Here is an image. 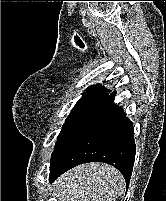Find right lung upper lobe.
I'll use <instances>...</instances> for the list:
<instances>
[{
	"mask_svg": "<svg viewBox=\"0 0 166 201\" xmlns=\"http://www.w3.org/2000/svg\"><path fill=\"white\" fill-rule=\"evenodd\" d=\"M109 94L107 93L106 88L102 87L100 84L95 86L88 87L86 92L83 93V98H92V97H107Z\"/></svg>",
	"mask_w": 166,
	"mask_h": 201,
	"instance_id": "cb5924a9",
	"label": "right lung upper lobe"
}]
</instances>
